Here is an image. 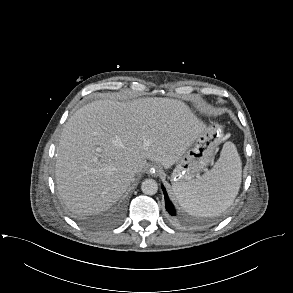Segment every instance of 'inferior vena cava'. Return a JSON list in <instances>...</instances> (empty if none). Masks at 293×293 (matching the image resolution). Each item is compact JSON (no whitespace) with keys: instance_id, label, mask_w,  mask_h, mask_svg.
Segmentation results:
<instances>
[{"instance_id":"inferior-vena-cava-1","label":"inferior vena cava","mask_w":293,"mask_h":293,"mask_svg":"<svg viewBox=\"0 0 293 293\" xmlns=\"http://www.w3.org/2000/svg\"><path fill=\"white\" fill-rule=\"evenodd\" d=\"M130 171L132 173H138V172L141 171V167H140L139 164H136V163L135 164H132L131 167H130Z\"/></svg>"}]
</instances>
